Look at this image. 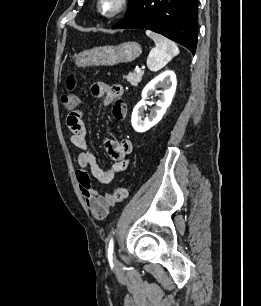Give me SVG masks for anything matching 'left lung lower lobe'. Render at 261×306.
Instances as JSON below:
<instances>
[{"label": "left lung lower lobe", "mask_w": 261, "mask_h": 306, "mask_svg": "<svg viewBox=\"0 0 261 306\" xmlns=\"http://www.w3.org/2000/svg\"><path fill=\"white\" fill-rule=\"evenodd\" d=\"M198 0H138L112 29L146 28L185 46H197Z\"/></svg>", "instance_id": "left-lung-lower-lobe-1"}]
</instances>
